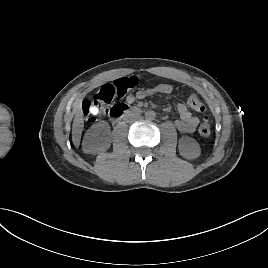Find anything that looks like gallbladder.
<instances>
[{"mask_svg": "<svg viewBox=\"0 0 268 268\" xmlns=\"http://www.w3.org/2000/svg\"><path fill=\"white\" fill-rule=\"evenodd\" d=\"M90 112H91L92 114H97V113L99 112V107H98L97 105H92V106L90 107Z\"/></svg>", "mask_w": 268, "mask_h": 268, "instance_id": "1", "label": "gallbladder"}]
</instances>
